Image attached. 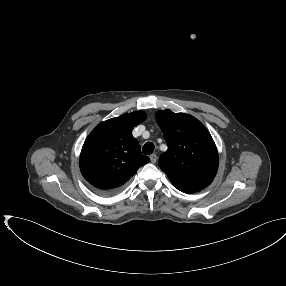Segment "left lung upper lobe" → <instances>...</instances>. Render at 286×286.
<instances>
[{"label": "left lung upper lobe", "mask_w": 286, "mask_h": 286, "mask_svg": "<svg viewBox=\"0 0 286 286\" xmlns=\"http://www.w3.org/2000/svg\"><path fill=\"white\" fill-rule=\"evenodd\" d=\"M156 120L168 144L158 163L172 184L184 193L210 185L218 169V152L206 127L189 114L171 110L158 111Z\"/></svg>", "instance_id": "5c2ea615"}]
</instances>
